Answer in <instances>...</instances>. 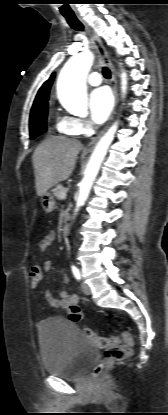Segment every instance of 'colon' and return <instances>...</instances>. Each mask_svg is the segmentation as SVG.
I'll list each match as a JSON object with an SVG mask.
<instances>
[{"instance_id": "5ec220e1", "label": "colon", "mask_w": 168, "mask_h": 415, "mask_svg": "<svg viewBox=\"0 0 168 415\" xmlns=\"http://www.w3.org/2000/svg\"><path fill=\"white\" fill-rule=\"evenodd\" d=\"M41 269L42 264L40 262H33L32 265L29 266L28 276L30 277L31 291L37 292L40 288L39 284L44 281V276L42 275ZM83 333L90 342L99 348L104 349V356L102 361L93 369L92 375L94 378H98L105 368L118 361L123 360L132 352L133 339L128 332L123 333L122 337L124 343L121 342V338L118 336H100L89 328H85Z\"/></svg>"}]
</instances>
